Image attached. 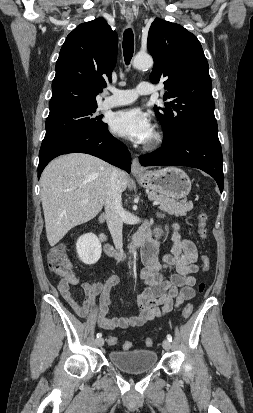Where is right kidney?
I'll list each match as a JSON object with an SVG mask.
<instances>
[{
    "label": "right kidney",
    "mask_w": 253,
    "mask_h": 413,
    "mask_svg": "<svg viewBox=\"0 0 253 413\" xmlns=\"http://www.w3.org/2000/svg\"><path fill=\"white\" fill-rule=\"evenodd\" d=\"M76 250L79 259L84 264L92 265L100 259L102 247L95 234L87 233L78 238Z\"/></svg>",
    "instance_id": "ca27d5eb"
}]
</instances>
